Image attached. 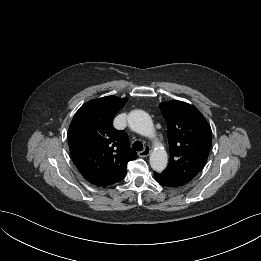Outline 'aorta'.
<instances>
[{"label":"aorta","mask_w":261,"mask_h":261,"mask_svg":"<svg viewBox=\"0 0 261 261\" xmlns=\"http://www.w3.org/2000/svg\"><path fill=\"white\" fill-rule=\"evenodd\" d=\"M128 125L136 133L154 138L156 135L153 121L148 113L133 110L128 115ZM168 163L167 152L160 142H155V148L150 155V165L157 172L163 171Z\"/></svg>","instance_id":"1"}]
</instances>
